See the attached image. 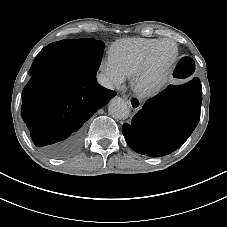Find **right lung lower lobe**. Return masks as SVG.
<instances>
[{
	"mask_svg": "<svg viewBox=\"0 0 227 227\" xmlns=\"http://www.w3.org/2000/svg\"><path fill=\"white\" fill-rule=\"evenodd\" d=\"M72 40L53 42L36 56L22 92L21 116L35 146L49 157L75 153L83 139V124L116 93L101 87L96 75L76 72L67 57Z\"/></svg>",
	"mask_w": 227,
	"mask_h": 227,
	"instance_id": "obj_1",
	"label": "right lung lower lobe"
}]
</instances>
